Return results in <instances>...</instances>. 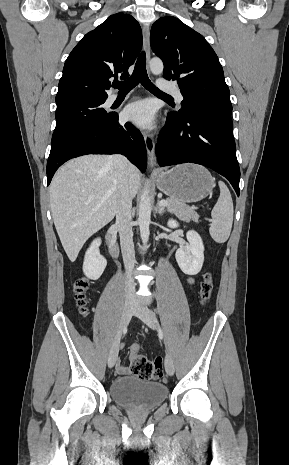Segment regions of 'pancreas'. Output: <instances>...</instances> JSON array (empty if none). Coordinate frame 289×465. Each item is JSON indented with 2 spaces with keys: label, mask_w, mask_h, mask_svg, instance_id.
Listing matches in <instances>:
<instances>
[{
  "label": "pancreas",
  "mask_w": 289,
  "mask_h": 465,
  "mask_svg": "<svg viewBox=\"0 0 289 465\" xmlns=\"http://www.w3.org/2000/svg\"><path fill=\"white\" fill-rule=\"evenodd\" d=\"M166 201L168 203L166 205L167 210L175 214L180 220L198 222L199 216L192 207L172 198H167Z\"/></svg>",
  "instance_id": "obj_1"
}]
</instances>
